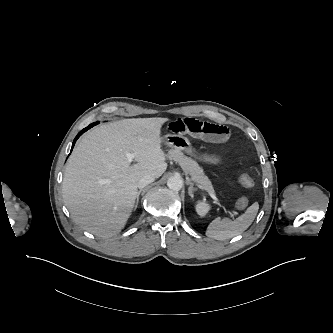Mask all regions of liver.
Here are the masks:
<instances>
[{"mask_svg": "<svg viewBox=\"0 0 333 333\" xmlns=\"http://www.w3.org/2000/svg\"><path fill=\"white\" fill-rule=\"evenodd\" d=\"M167 118L124 119L86 133L68 159L63 200L84 230L111 237L126 225L146 174L159 178L167 169L161 128ZM126 153L135 154V165Z\"/></svg>", "mask_w": 333, "mask_h": 333, "instance_id": "liver-1", "label": "liver"}]
</instances>
